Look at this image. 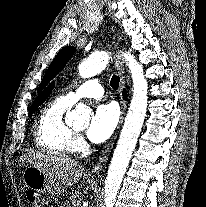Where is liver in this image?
Returning a JSON list of instances; mask_svg holds the SVG:
<instances>
[{"label":"liver","instance_id":"1","mask_svg":"<svg viewBox=\"0 0 206 207\" xmlns=\"http://www.w3.org/2000/svg\"><path fill=\"white\" fill-rule=\"evenodd\" d=\"M33 166L49 176L59 186L76 184L84 174V167L76 160L55 151H36L24 155Z\"/></svg>","mask_w":206,"mask_h":207}]
</instances>
